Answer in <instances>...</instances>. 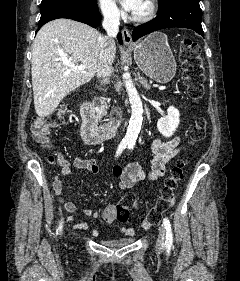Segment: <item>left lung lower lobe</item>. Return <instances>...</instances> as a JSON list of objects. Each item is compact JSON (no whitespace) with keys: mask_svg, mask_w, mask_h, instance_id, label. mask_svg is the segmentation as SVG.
<instances>
[{"mask_svg":"<svg viewBox=\"0 0 240 281\" xmlns=\"http://www.w3.org/2000/svg\"><path fill=\"white\" fill-rule=\"evenodd\" d=\"M199 1L165 0L158 5V14L153 20L133 30V41L156 30L170 27L189 28L204 36Z\"/></svg>","mask_w":240,"mask_h":281,"instance_id":"left-lung-lower-lobe-1","label":"left lung lower lobe"}]
</instances>
